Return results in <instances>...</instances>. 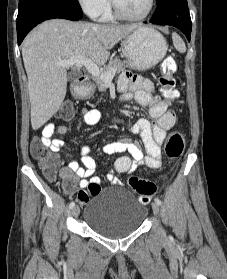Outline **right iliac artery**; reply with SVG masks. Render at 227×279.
Masks as SVG:
<instances>
[{
  "instance_id": "right-iliac-artery-1",
  "label": "right iliac artery",
  "mask_w": 227,
  "mask_h": 279,
  "mask_svg": "<svg viewBox=\"0 0 227 279\" xmlns=\"http://www.w3.org/2000/svg\"><path fill=\"white\" fill-rule=\"evenodd\" d=\"M74 206H75V203H74V202H71L70 205H69L70 209H73Z\"/></svg>"
}]
</instances>
